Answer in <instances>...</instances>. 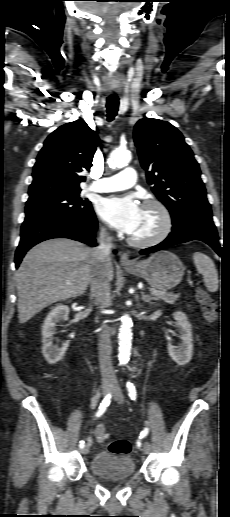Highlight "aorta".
Here are the masks:
<instances>
[{"instance_id": "aorta-1", "label": "aorta", "mask_w": 230, "mask_h": 517, "mask_svg": "<svg viewBox=\"0 0 230 517\" xmlns=\"http://www.w3.org/2000/svg\"><path fill=\"white\" fill-rule=\"evenodd\" d=\"M131 160V153L128 150H114L110 153L108 164L111 168H122L128 165ZM120 365L128 363L132 348V319L128 314L121 317V326L118 334Z\"/></svg>"}]
</instances>
